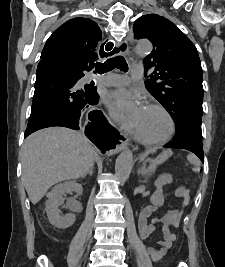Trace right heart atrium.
Masks as SVG:
<instances>
[{"label": "right heart atrium", "instance_id": "right-heart-atrium-1", "mask_svg": "<svg viewBox=\"0 0 225 267\" xmlns=\"http://www.w3.org/2000/svg\"><path fill=\"white\" fill-rule=\"evenodd\" d=\"M109 120L111 121V123H113L116 126H119L123 130H130V126L125 123H120L113 113H110Z\"/></svg>", "mask_w": 225, "mask_h": 267}]
</instances>
